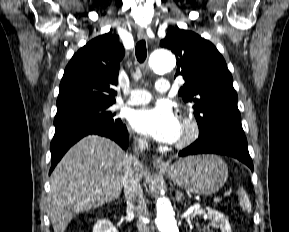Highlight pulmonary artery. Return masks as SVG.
Wrapping results in <instances>:
<instances>
[{
	"label": "pulmonary artery",
	"mask_w": 289,
	"mask_h": 232,
	"mask_svg": "<svg viewBox=\"0 0 289 232\" xmlns=\"http://www.w3.org/2000/svg\"><path fill=\"white\" fill-rule=\"evenodd\" d=\"M158 93H167L170 89V83L167 79L161 78L155 84ZM151 100V94L146 90L136 89L131 91L129 100L126 105H142Z\"/></svg>",
	"instance_id": "1"
}]
</instances>
